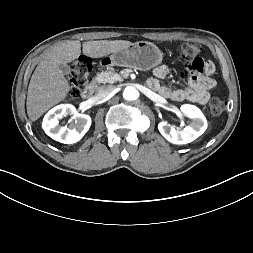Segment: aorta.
<instances>
[{
  "mask_svg": "<svg viewBox=\"0 0 253 253\" xmlns=\"http://www.w3.org/2000/svg\"><path fill=\"white\" fill-rule=\"evenodd\" d=\"M139 96V92L131 86H128L123 91V97L126 100H136Z\"/></svg>",
  "mask_w": 253,
  "mask_h": 253,
  "instance_id": "762f6f07",
  "label": "aorta"
}]
</instances>
